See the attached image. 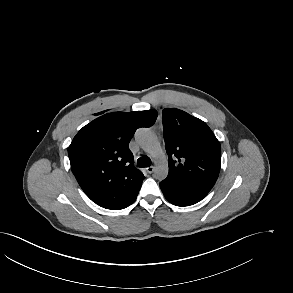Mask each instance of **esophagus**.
I'll return each instance as SVG.
<instances>
[{
    "mask_svg": "<svg viewBox=\"0 0 293 293\" xmlns=\"http://www.w3.org/2000/svg\"><path fill=\"white\" fill-rule=\"evenodd\" d=\"M155 167L154 166H150L148 168H146L147 173L152 174L154 172Z\"/></svg>",
    "mask_w": 293,
    "mask_h": 293,
    "instance_id": "34e87169",
    "label": "esophagus"
}]
</instances>
